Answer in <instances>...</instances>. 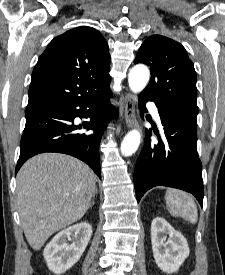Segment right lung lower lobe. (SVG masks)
Returning <instances> with one entry per match:
<instances>
[{"label": "right lung lower lobe", "instance_id": "obj_1", "mask_svg": "<svg viewBox=\"0 0 225 275\" xmlns=\"http://www.w3.org/2000/svg\"><path fill=\"white\" fill-rule=\"evenodd\" d=\"M109 86L101 93L78 101H66L26 112L16 173L30 157L43 152H59L87 163L100 177L99 144L111 118ZM75 117L90 118L74 125ZM81 128L93 134L78 133Z\"/></svg>", "mask_w": 225, "mask_h": 275}]
</instances>
